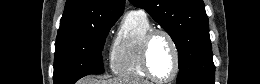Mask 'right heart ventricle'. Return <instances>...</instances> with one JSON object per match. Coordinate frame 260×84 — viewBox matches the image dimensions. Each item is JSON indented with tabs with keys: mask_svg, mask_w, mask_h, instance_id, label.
<instances>
[{
	"mask_svg": "<svg viewBox=\"0 0 260 84\" xmlns=\"http://www.w3.org/2000/svg\"><path fill=\"white\" fill-rule=\"evenodd\" d=\"M150 29L152 24L144 11L126 14L110 52V67L115 75L130 79L147 77L142 67L141 44Z\"/></svg>",
	"mask_w": 260,
	"mask_h": 84,
	"instance_id": "1",
	"label": "right heart ventricle"
}]
</instances>
